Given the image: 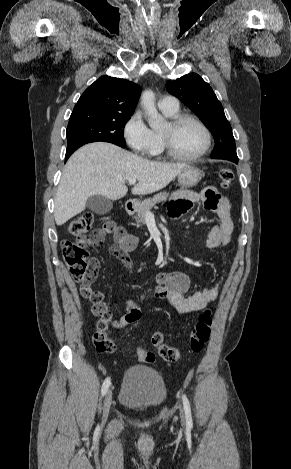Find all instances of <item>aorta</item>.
Returning a JSON list of instances; mask_svg holds the SVG:
<instances>
[{"instance_id":"762f6f07","label":"aorta","mask_w":291,"mask_h":469,"mask_svg":"<svg viewBox=\"0 0 291 469\" xmlns=\"http://www.w3.org/2000/svg\"><path fill=\"white\" fill-rule=\"evenodd\" d=\"M141 105L148 116V124L152 129L162 128L166 121L155 106V94L152 90H145L141 95Z\"/></svg>"}]
</instances>
